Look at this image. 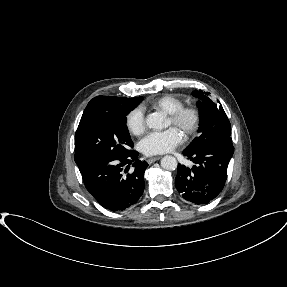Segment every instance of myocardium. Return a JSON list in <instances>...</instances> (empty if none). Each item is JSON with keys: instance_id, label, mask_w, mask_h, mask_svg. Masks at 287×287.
<instances>
[{"instance_id": "1", "label": "myocardium", "mask_w": 287, "mask_h": 287, "mask_svg": "<svg viewBox=\"0 0 287 287\" xmlns=\"http://www.w3.org/2000/svg\"><path fill=\"white\" fill-rule=\"evenodd\" d=\"M168 115L174 125H183L186 122L184 129L185 139L189 140L197 135L202 121L201 111L198 107L183 105Z\"/></svg>"}]
</instances>
